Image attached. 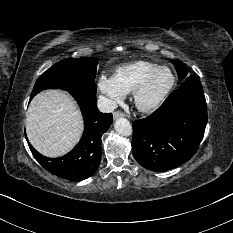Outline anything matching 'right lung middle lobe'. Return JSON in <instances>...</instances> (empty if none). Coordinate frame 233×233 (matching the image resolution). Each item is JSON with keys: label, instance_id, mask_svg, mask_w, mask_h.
Wrapping results in <instances>:
<instances>
[{"label": "right lung middle lobe", "instance_id": "right-lung-middle-lobe-1", "mask_svg": "<svg viewBox=\"0 0 233 233\" xmlns=\"http://www.w3.org/2000/svg\"><path fill=\"white\" fill-rule=\"evenodd\" d=\"M97 64L95 59L84 58H69L56 63L38 78L31 98L48 88H59L69 92L73 90L96 92L94 80Z\"/></svg>", "mask_w": 233, "mask_h": 233}]
</instances>
